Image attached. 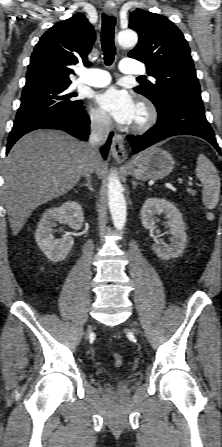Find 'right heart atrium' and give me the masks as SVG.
<instances>
[{
	"label": "right heart atrium",
	"mask_w": 222,
	"mask_h": 447,
	"mask_svg": "<svg viewBox=\"0 0 222 447\" xmlns=\"http://www.w3.org/2000/svg\"><path fill=\"white\" fill-rule=\"evenodd\" d=\"M88 118L90 124L97 129L107 130L110 126V122L106 115H104L99 110L90 108L88 110Z\"/></svg>",
	"instance_id": "1"
}]
</instances>
